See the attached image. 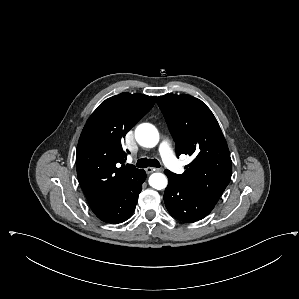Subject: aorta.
Segmentation results:
<instances>
[{
  "label": "aorta",
  "mask_w": 299,
  "mask_h": 299,
  "mask_svg": "<svg viewBox=\"0 0 299 299\" xmlns=\"http://www.w3.org/2000/svg\"><path fill=\"white\" fill-rule=\"evenodd\" d=\"M135 139L139 145L152 148L159 142L158 130L149 123H142L135 130ZM167 178L162 173H153L149 177V185L157 190H162L167 186Z\"/></svg>",
  "instance_id": "762f6f07"
}]
</instances>
